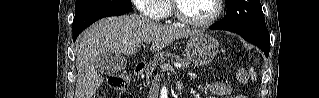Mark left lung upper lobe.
Returning <instances> with one entry per match:
<instances>
[{"mask_svg": "<svg viewBox=\"0 0 319 98\" xmlns=\"http://www.w3.org/2000/svg\"><path fill=\"white\" fill-rule=\"evenodd\" d=\"M226 7L225 17L215 23L221 30L269 38L260 0H226Z\"/></svg>", "mask_w": 319, "mask_h": 98, "instance_id": "obj_1", "label": "left lung upper lobe"}]
</instances>
